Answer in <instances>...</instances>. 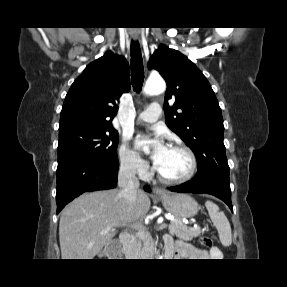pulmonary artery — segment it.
Segmentation results:
<instances>
[{
    "label": "pulmonary artery",
    "mask_w": 287,
    "mask_h": 287,
    "mask_svg": "<svg viewBox=\"0 0 287 287\" xmlns=\"http://www.w3.org/2000/svg\"><path fill=\"white\" fill-rule=\"evenodd\" d=\"M160 114V106L158 104H150L146 110L140 113L137 120L139 122L154 123L159 119Z\"/></svg>",
    "instance_id": "pulmonary-artery-1"
}]
</instances>
